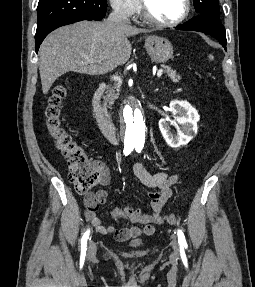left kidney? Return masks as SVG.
Instances as JSON below:
<instances>
[{
    "instance_id": "1",
    "label": "left kidney",
    "mask_w": 255,
    "mask_h": 287,
    "mask_svg": "<svg viewBox=\"0 0 255 287\" xmlns=\"http://www.w3.org/2000/svg\"><path fill=\"white\" fill-rule=\"evenodd\" d=\"M169 106L174 120L173 122L166 120V118L159 120V128L163 138L171 147L188 144L189 140H192L197 134V122H199L200 116L189 102L173 100ZM170 126L177 128L176 136L170 132Z\"/></svg>"
}]
</instances>
